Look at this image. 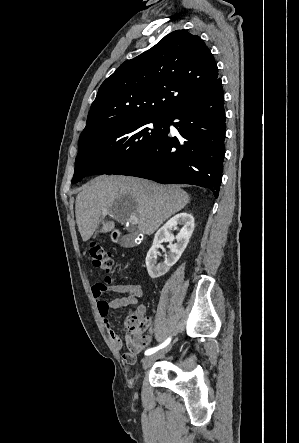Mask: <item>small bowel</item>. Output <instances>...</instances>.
<instances>
[{"instance_id":"c3829d8e","label":"small bowel","mask_w":299,"mask_h":443,"mask_svg":"<svg viewBox=\"0 0 299 443\" xmlns=\"http://www.w3.org/2000/svg\"><path fill=\"white\" fill-rule=\"evenodd\" d=\"M106 292H113L118 294L109 301L104 298ZM92 294L95 298L97 309L103 318V325L106 332L116 350H121L123 342L112 327L111 322L107 318L112 310H117L127 306L137 305L140 298L143 296V287L137 283H117L106 285L98 282L92 286ZM141 312L145 311L144 306H138ZM152 341V335L147 334L137 339L126 338V346L128 351L123 355L124 360L129 364H134L138 354H140Z\"/></svg>"}]
</instances>
